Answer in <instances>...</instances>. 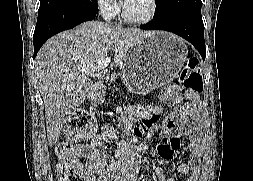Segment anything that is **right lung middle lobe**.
<instances>
[{"mask_svg":"<svg viewBox=\"0 0 253 181\" xmlns=\"http://www.w3.org/2000/svg\"><path fill=\"white\" fill-rule=\"evenodd\" d=\"M75 4H83L93 9H98L97 0H40L38 14Z\"/></svg>","mask_w":253,"mask_h":181,"instance_id":"1","label":"right lung middle lobe"}]
</instances>
